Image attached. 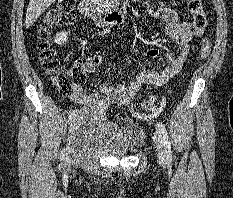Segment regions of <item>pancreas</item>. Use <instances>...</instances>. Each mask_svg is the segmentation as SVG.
I'll use <instances>...</instances> for the list:
<instances>
[{"label":"pancreas","instance_id":"1","mask_svg":"<svg viewBox=\"0 0 233 198\" xmlns=\"http://www.w3.org/2000/svg\"><path fill=\"white\" fill-rule=\"evenodd\" d=\"M119 0H92L95 4H98L107 9H114L117 7Z\"/></svg>","mask_w":233,"mask_h":198}]
</instances>
